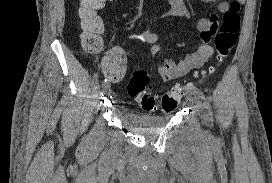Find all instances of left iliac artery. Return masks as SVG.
Here are the masks:
<instances>
[{
    "mask_svg": "<svg viewBox=\"0 0 272 183\" xmlns=\"http://www.w3.org/2000/svg\"><path fill=\"white\" fill-rule=\"evenodd\" d=\"M190 91H191V94L198 96L201 99H205L203 92H201L199 89L192 87Z\"/></svg>",
    "mask_w": 272,
    "mask_h": 183,
    "instance_id": "44dca946",
    "label": "left iliac artery"
}]
</instances>
